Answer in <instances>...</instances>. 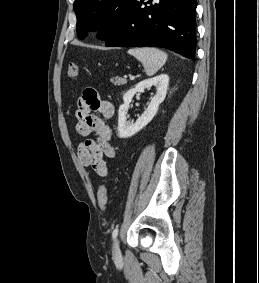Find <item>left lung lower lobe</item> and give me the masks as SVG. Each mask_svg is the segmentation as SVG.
I'll list each match as a JSON object with an SVG mask.
<instances>
[{"instance_id":"1","label":"left lung lower lobe","mask_w":259,"mask_h":283,"mask_svg":"<svg viewBox=\"0 0 259 283\" xmlns=\"http://www.w3.org/2000/svg\"><path fill=\"white\" fill-rule=\"evenodd\" d=\"M196 0H135L106 46H155L195 59Z\"/></svg>"}]
</instances>
